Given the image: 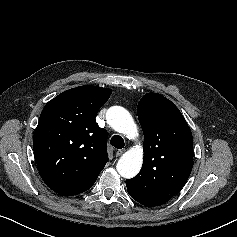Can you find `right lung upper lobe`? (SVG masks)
Wrapping results in <instances>:
<instances>
[{
	"instance_id": "right-lung-upper-lobe-1",
	"label": "right lung upper lobe",
	"mask_w": 237,
	"mask_h": 237,
	"mask_svg": "<svg viewBox=\"0 0 237 237\" xmlns=\"http://www.w3.org/2000/svg\"><path fill=\"white\" fill-rule=\"evenodd\" d=\"M111 92L80 86L59 94L43 108L33 149L39 173L53 191L66 196L87 191L105 167L107 132L95 117Z\"/></svg>"
}]
</instances>
